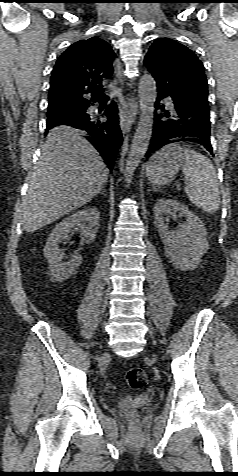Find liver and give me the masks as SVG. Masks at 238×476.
Wrapping results in <instances>:
<instances>
[{
    "label": "liver",
    "mask_w": 238,
    "mask_h": 476,
    "mask_svg": "<svg viewBox=\"0 0 238 476\" xmlns=\"http://www.w3.org/2000/svg\"><path fill=\"white\" fill-rule=\"evenodd\" d=\"M42 154L27 176L22 206L26 232L36 231L88 203L107 182L109 170L101 156L76 129L52 130Z\"/></svg>",
    "instance_id": "obj_1"
}]
</instances>
